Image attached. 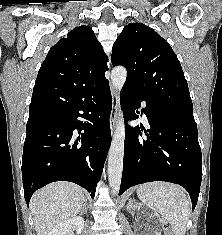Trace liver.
Returning a JSON list of instances; mask_svg holds the SVG:
<instances>
[{
    "label": "liver",
    "mask_w": 222,
    "mask_h": 235,
    "mask_svg": "<svg viewBox=\"0 0 222 235\" xmlns=\"http://www.w3.org/2000/svg\"><path fill=\"white\" fill-rule=\"evenodd\" d=\"M84 202L83 189L70 182H55L38 190L30 201L37 235H49L56 225L75 217Z\"/></svg>",
    "instance_id": "1"
}]
</instances>
